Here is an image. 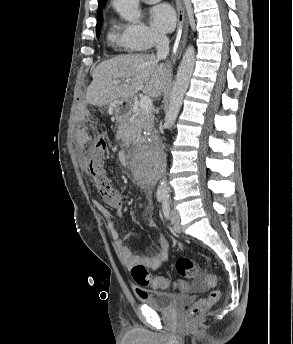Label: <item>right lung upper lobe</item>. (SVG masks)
<instances>
[{
  "label": "right lung upper lobe",
  "mask_w": 293,
  "mask_h": 344,
  "mask_svg": "<svg viewBox=\"0 0 293 344\" xmlns=\"http://www.w3.org/2000/svg\"><path fill=\"white\" fill-rule=\"evenodd\" d=\"M106 2L107 0H99V8L100 9L103 8L106 5ZM100 9L98 10V13H97V19L101 17V14H102V11Z\"/></svg>",
  "instance_id": "1"
}]
</instances>
